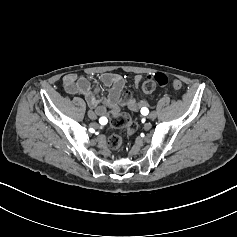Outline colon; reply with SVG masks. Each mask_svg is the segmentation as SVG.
<instances>
[{
  "label": "colon",
  "instance_id": "colon-1",
  "mask_svg": "<svg viewBox=\"0 0 237 237\" xmlns=\"http://www.w3.org/2000/svg\"><path fill=\"white\" fill-rule=\"evenodd\" d=\"M168 83V78L163 73H157L153 79H148L142 83V90L144 93H151L156 84L164 86ZM110 123L114 128L125 129L127 136H132L137 128L138 124L132 120L126 113L116 109L110 113ZM124 138L118 134H112L107 139L108 147L115 151L118 150L123 144Z\"/></svg>",
  "mask_w": 237,
  "mask_h": 237
}]
</instances>
